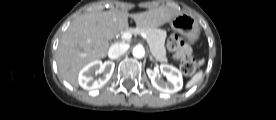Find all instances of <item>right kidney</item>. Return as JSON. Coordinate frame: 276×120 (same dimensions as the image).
<instances>
[{
    "mask_svg": "<svg viewBox=\"0 0 276 120\" xmlns=\"http://www.w3.org/2000/svg\"><path fill=\"white\" fill-rule=\"evenodd\" d=\"M114 67L115 64L112 61H106L104 63L100 60L93 61L81 69L78 82L85 90L92 91L99 89L109 81ZM98 73L102 74V76L98 80H95L93 75Z\"/></svg>",
    "mask_w": 276,
    "mask_h": 120,
    "instance_id": "right-kidney-1",
    "label": "right kidney"
}]
</instances>
